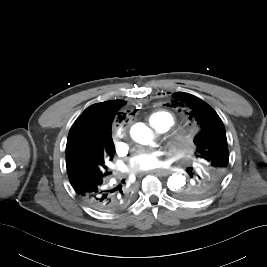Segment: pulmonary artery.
<instances>
[{
	"instance_id": "obj_1",
	"label": "pulmonary artery",
	"mask_w": 267,
	"mask_h": 267,
	"mask_svg": "<svg viewBox=\"0 0 267 267\" xmlns=\"http://www.w3.org/2000/svg\"><path fill=\"white\" fill-rule=\"evenodd\" d=\"M165 131H167L166 127H162V128L159 130V132H165Z\"/></svg>"
}]
</instances>
